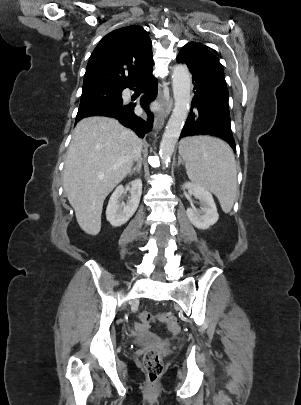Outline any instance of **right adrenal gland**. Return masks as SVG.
Instances as JSON below:
<instances>
[{"mask_svg":"<svg viewBox=\"0 0 301 405\" xmlns=\"http://www.w3.org/2000/svg\"><path fill=\"white\" fill-rule=\"evenodd\" d=\"M141 168H142V160L140 159V160L137 162V165L130 171L129 175H132V174H134L135 172L140 173Z\"/></svg>","mask_w":301,"mask_h":405,"instance_id":"1","label":"right adrenal gland"}]
</instances>
